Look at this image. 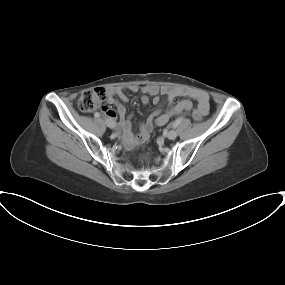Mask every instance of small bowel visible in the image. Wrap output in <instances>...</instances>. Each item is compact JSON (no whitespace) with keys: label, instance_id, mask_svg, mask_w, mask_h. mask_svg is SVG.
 Returning a JSON list of instances; mask_svg holds the SVG:
<instances>
[{"label":"small bowel","instance_id":"c3829d8e","mask_svg":"<svg viewBox=\"0 0 285 285\" xmlns=\"http://www.w3.org/2000/svg\"><path fill=\"white\" fill-rule=\"evenodd\" d=\"M129 89L133 92H137L139 87L132 85ZM143 96L141 97V102L143 104L149 103V96L153 97L154 104H158L160 101L159 93H162L169 103H172L175 98H177L180 93L175 89H170L167 87L159 88L156 85H145L140 88ZM106 101L108 104L116 107V111L108 107L103 108V113L108 119L115 120L119 117V130L122 136V140L126 147L133 148L143 142H145L150 133L153 130V124L162 126L168 123V121L175 115L187 112L191 110L193 104L189 99H183L179 101L174 106L168 108L165 112L160 113L159 109H156L148 119L141 124L140 131L137 135L132 133V122L130 118L126 115V108L123 102L128 101V96L125 94L121 87H109L105 89ZM188 96L194 99L197 103L198 109L206 115L209 112L210 104L209 97L203 92L189 93Z\"/></svg>","mask_w":285,"mask_h":285}]
</instances>
